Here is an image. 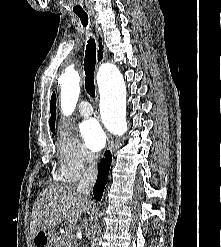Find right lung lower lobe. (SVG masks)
Listing matches in <instances>:
<instances>
[{
    "label": "right lung lower lobe",
    "mask_w": 221,
    "mask_h": 247,
    "mask_svg": "<svg viewBox=\"0 0 221 247\" xmlns=\"http://www.w3.org/2000/svg\"><path fill=\"white\" fill-rule=\"evenodd\" d=\"M112 162V157L110 151L105 152V157L101 160L98 168V177L96 183L93 187V195L95 199L101 200L105 185L108 181V174L110 170V165Z\"/></svg>",
    "instance_id": "right-lung-lower-lobe-1"
}]
</instances>
